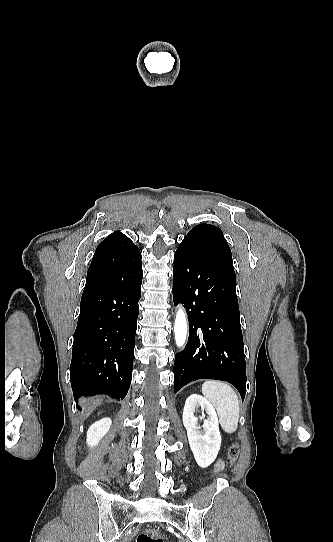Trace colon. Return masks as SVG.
<instances>
[{"mask_svg":"<svg viewBox=\"0 0 333 542\" xmlns=\"http://www.w3.org/2000/svg\"><path fill=\"white\" fill-rule=\"evenodd\" d=\"M227 453L229 460L235 462L240 453L239 446L237 444L230 446ZM136 542H164V540L162 535L156 529L152 528L141 532L137 536Z\"/></svg>","mask_w":333,"mask_h":542,"instance_id":"colon-1","label":"colon"}]
</instances>
